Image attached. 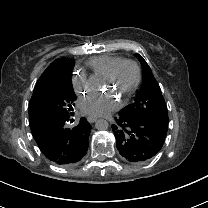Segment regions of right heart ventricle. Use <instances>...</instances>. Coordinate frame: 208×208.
<instances>
[{
    "instance_id": "1",
    "label": "right heart ventricle",
    "mask_w": 208,
    "mask_h": 208,
    "mask_svg": "<svg viewBox=\"0 0 208 208\" xmlns=\"http://www.w3.org/2000/svg\"><path fill=\"white\" fill-rule=\"evenodd\" d=\"M121 58L110 55L94 57L87 61V65L93 72V78L102 79L110 73Z\"/></svg>"
}]
</instances>
